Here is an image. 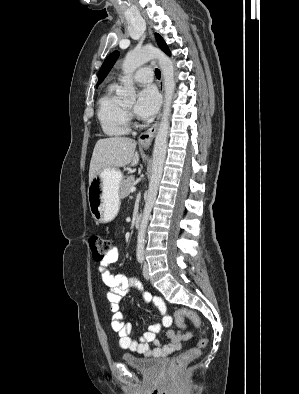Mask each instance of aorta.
I'll return each mask as SVG.
<instances>
[{"instance_id": "1", "label": "aorta", "mask_w": 299, "mask_h": 394, "mask_svg": "<svg viewBox=\"0 0 299 394\" xmlns=\"http://www.w3.org/2000/svg\"><path fill=\"white\" fill-rule=\"evenodd\" d=\"M152 59H157L159 67L164 78V104L162 118L155 137L153 161H152V175L149 181L148 195L143 210V215L140 223V228L137 237V255H144L145 234L150 214L158 193L159 184L161 181L163 166L166 157L167 136L170 127L171 104L175 90V70L172 60L162 51L155 47H143L135 49L127 53L122 70L125 75L123 78V89L120 92L122 99L127 101H134L136 92L132 79V74L137 68L147 63Z\"/></svg>"}]
</instances>
